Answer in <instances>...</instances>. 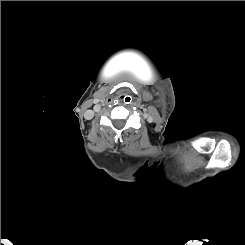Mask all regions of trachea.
I'll return each mask as SVG.
<instances>
[{"mask_svg":"<svg viewBox=\"0 0 245 245\" xmlns=\"http://www.w3.org/2000/svg\"><path fill=\"white\" fill-rule=\"evenodd\" d=\"M131 101H132V99H131L130 96H126V97L123 98V102H124L125 104H130Z\"/></svg>","mask_w":245,"mask_h":245,"instance_id":"obj_1","label":"trachea"}]
</instances>
